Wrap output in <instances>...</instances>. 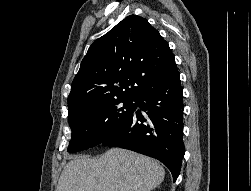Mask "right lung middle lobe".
Listing matches in <instances>:
<instances>
[{
  "label": "right lung middle lobe",
  "mask_w": 251,
  "mask_h": 191,
  "mask_svg": "<svg viewBox=\"0 0 251 191\" xmlns=\"http://www.w3.org/2000/svg\"><path fill=\"white\" fill-rule=\"evenodd\" d=\"M134 99L76 106L69 109L68 122L72 130L68 152L74 153L99 145L120 127L135 111Z\"/></svg>",
  "instance_id": "right-lung-middle-lobe-1"
}]
</instances>
